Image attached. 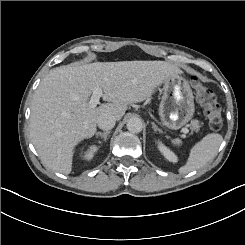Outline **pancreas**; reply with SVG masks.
I'll return each instance as SVG.
<instances>
[{
  "label": "pancreas",
  "mask_w": 245,
  "mask_h": 245,
  "mask_svg": "<svg viewBox=\"0 0 245 245\" xmlns=\"http://www.w3.org/2000/svg\"><path fill=\"white\" fill-rule=\"evenodd\" d=\"M188 126L191 130H195L198 127V120H191Z\"/></svg>",
  "instance_id": "cf45deb5"
}]
</instances>
